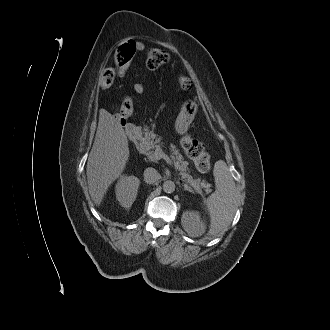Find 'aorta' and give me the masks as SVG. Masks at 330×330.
<instances>
[{
	"instance_id": "762f6f07",
	"label": "aorta",
	"mask_w": 330,
	"mask_h": 330,
	"mask_svg": "<svg viewBox=\"0 0 330 330\" xmlns=\"http://www.w3.org/2000/svg\"><path fill=\"white\" fill-rule=\"evenodd\" d=\"M163 191L166 193H173L175 191V183L171 180H167L163 183Z\"/></svg>"
}]
</instances>
